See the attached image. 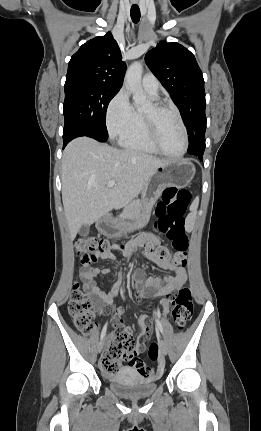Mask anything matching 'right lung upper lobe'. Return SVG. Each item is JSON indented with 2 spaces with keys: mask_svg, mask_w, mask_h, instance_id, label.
Returning <instances> with one entry per match:
<instances>
[{
  "mask_svg": "<svg viewBox=\"0 0 261 431\" xmlns=\"http://www.w3.org/2000/svg\"><path fill=\"white\" fill-rule=\"evenodd\" d=\"M125 71L119 46L108 32L83 44L71 57L66 80L84 79L120 90Z\"/></svg>",
  "mask_w": 261,
  "mask_h": 431,
  "instance_id": "cb5924a9",
  "label": "right lung upper lobe"
}]
</instances>
